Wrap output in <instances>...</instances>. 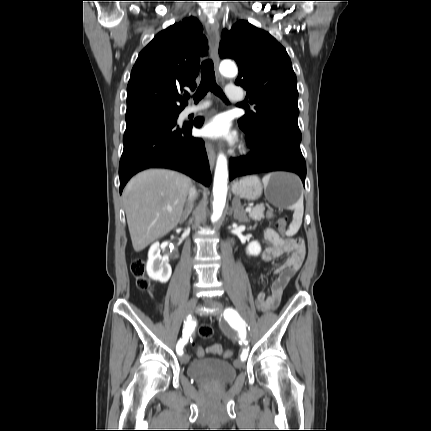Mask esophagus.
I'll return each instance as SVG.
<instances>
[{
	"instance_id": "34e87169",
	"label": "esophagus",
	"mask_w": 431,
	"mask_h": 431,
	"mask_svg": "<svg viewBox=\"0 0 431 431\" xmlns=\"http://www.w3.org/2000/svg\"><path fill=\"white\" fill-rule=\"evenodd\" d=\"M207 32L210 34L213 40L212 46V58L217 67L219 64V55H218V46H219V26L216 22L209 23L206 26ZM206 151L209 160V166L211 169L214 168L216 161V153L214 150V146L210 142H206Z\"/></svg>"
}]
</instances>
